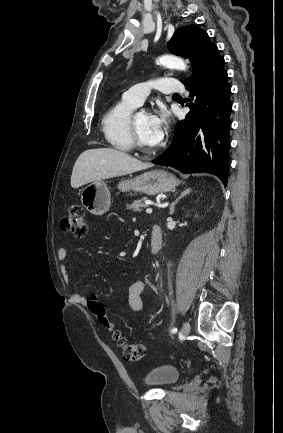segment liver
Returning <instances> with one entry per match:
<instances>
[{"instance_id":"6515ba94","label":"liver","mask_w":283,"mask_h":433,"mask_svg":"<svg viewBox=\"0 0 283 433\" xmlns=\"http://www.w3.org/2000/svg\"><path fill=\"white\" fill-rule=\"evenodd\" d=\"M152 166L150 162H141L127 152L116 148H89L78 156L71 174V186L79 188L82 184L122 176L136 170H143Z\"/></svg>"}]
</instances>
